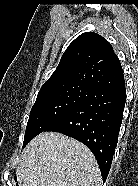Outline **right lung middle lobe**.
Here are the masks:
<instances>
[{
    "label": "right lung middle lobe",
    "instance_id": "obj_1",
    "mask_svg": "<svg viewBox=\"0 0 138 186\" xmlns=\"http://www.w3.org/2000/svg\"><path fill=\"white\" fill-rule=\"evenodd\" d=\"M91 90L85 86L71 85L39 92L30 112L23 147L82 104Z\"/></svg>",
    "mask_w": 138,
    "mask_h": 186
}]
</instances>
